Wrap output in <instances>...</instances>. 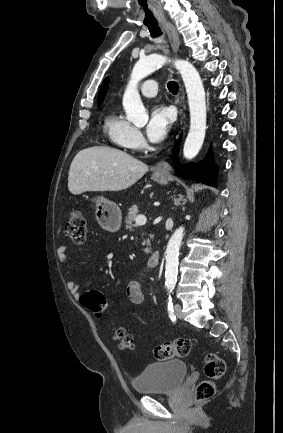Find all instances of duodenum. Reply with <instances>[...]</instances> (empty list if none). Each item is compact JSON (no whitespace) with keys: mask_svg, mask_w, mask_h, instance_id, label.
<instances>
[{"mask_svg":"<svg viewBox=\"0 0 283 433\" xmlns=\"http://www.w3.org/2000/svg\"><path fill=\"white\" fill-rule=\"evenodd\" d=\"M161 260V254L159 251L153 252L148 258V266L151 268H155L159 265Z\"/></svg>","mask_w":283,"mask_h":433,"instance_id":"duodenum-1","label":"duodenum"}]
</instances>
